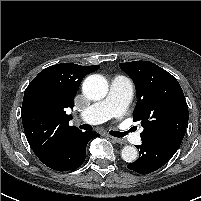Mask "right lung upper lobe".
I'll return each mask as SVG.
<instances>
[{"instance_id":"right-lung-upper-lobe-1","label":"right lung upper lobe","mask_w":201,"mask_h":201,"mask_svg":"<svg viewBox=\"0 0 201 201\" xmlns=\"http://www.w3.org/2000/svg\"><path fill=\"white\" fill-rule=\"evenodd\" d=\"M99 65L61 63L42 70L28 85L22 103V123L36 156L54 150L78 129L69 126L74 97L82 79Z\"/></svg>"}]
</instances>
